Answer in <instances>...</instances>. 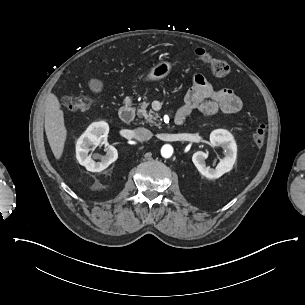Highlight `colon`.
I'll return each mask as SVG.
<instances>
[{
  "label": "colon",
  "mask_w": 305,
  "mask_h": 305,
  "mask_svg": "<svg viewBox=\"0 0 305 305\" xmlns=\"http://www.w3.org/2000/svg\"><path fill=\"white\" fill-rule=\"evenodd\" d=\"M198 59L211 67L212 71L218 76H225L229 72V66L226 62L212 57L205 48L198 47L195 49ZM97 97L95 94H90L85 97L76 98L67 96L64 99L65 106L70 110L89 108ZM267 135V127L265 124H259L252 134L253 144L257 147L264 145Z\"/></svg>",
  "instance_id": "5ec220e1"
}]
</instances>
